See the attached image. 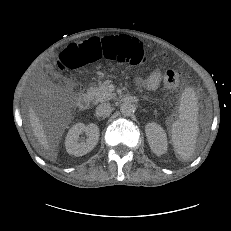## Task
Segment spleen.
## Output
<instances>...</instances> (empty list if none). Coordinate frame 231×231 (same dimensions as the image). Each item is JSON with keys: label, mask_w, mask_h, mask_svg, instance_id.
<instances>
[{"label": "spleen", "mask_w": 231, "mask_h": 231, "mask_svg": "<svg viewBox=\"0 0 231 231\" xmlns=\"http://www.w3.org/2000/svg\"><path fill=\"white\" fill-rule=\"evenodd\" d=\"M192 88L183 91L179 106V119L170 128L171 143L176 155L183 161L189 160L195 151L198 136V105Z\"/></svg>", "instance_id": "3e777b00"}]
</instances>
